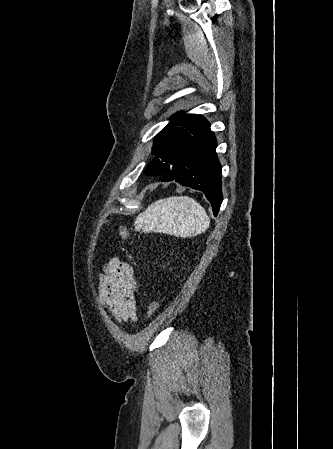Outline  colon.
I'll list each match as a JSON object with an SVG mask.
<instances>
[{
	"instance_id": "5ec220e1",
	"label": "colon",
	"mask_w": 333,
	"mask_h": 449,
	"mask_svg": "<svg viewBox=\"0 0 333 449\" xmlns=\"http://www.w3.org/2000/svg\"><path fill=\"white\" fill-rule=\"evenodd\" d=\"M119 235L122 239H129V230L126 226L121 225L119 226ZM161 301L158 298H153L151 299V301L148 304L147 307V317L148 318H152L158 311L159 307H160Z\"/></svg>"
}]
</instances>
